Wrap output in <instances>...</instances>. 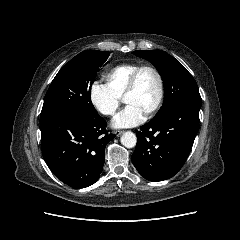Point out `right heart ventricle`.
Here are the masks:
<instances>
[{"instance_id": "e07e8e85", "label": "right heart ventricle", "mask_w": 240, "mask_h": 240, "mask_svg": "<svg viewBox=\"0 0 240 240\" xmlns=\"http://www.w3.org/2000/svg\"><path fill=\"white\" fill-rule=\"evenodd\" d=\"M139 66L138 63H121L114 66L105 74L107 84L117 95L122 97L131 75Z\"/></svg>"}]
</instances>
